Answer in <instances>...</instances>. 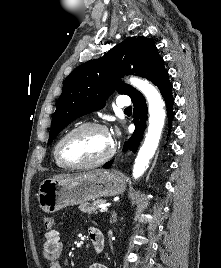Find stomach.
Listing matches in <instances>:
<instances>
[{"label": "stomach", "mask_w": 221, "mask_h": 268, "mask_svg": "<svg viewBox=\"0 0 221 268\" xmlns=\"http://www.w3.org/2000/svg\"><path fill=\"white\" fill-rule=\"evenodd\" d=\"M125 187L121 173L102 171L94 176L44 180L39 185L37 198L44 212L54 213L70 205L121 194Z\"/></svg>", "instance_id": "stomach-1"}]
</instances>
